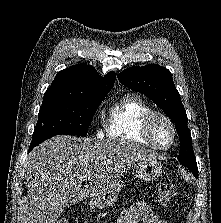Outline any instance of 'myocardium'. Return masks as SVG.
I'll use <instances>...</instances> for the list:
<instances>
[{
	"label": "myocardium",
	"instance_id": "myocardium-1",
	"mask_svg": "<svg viewBox=\"0 0 221 223\" xmlns=\"http://www.w3.org/2000/svg\"><path fill=\"white\" fill-rule=\"evenodd\" d=\"M157 119H161L164 122H166V124L169 126L171 130L172 139L168 145L164 146V145L159 144L153 136V124ZM141 135L155 149L165 151V150L170 149L175 144L176 139H177V130H176L174 122L168 115H166L163 112L153 110L145 116L142 122Z\"/></svg>",
	"mask_w": 221,
	"mask_h": 223
}]
</instances>
